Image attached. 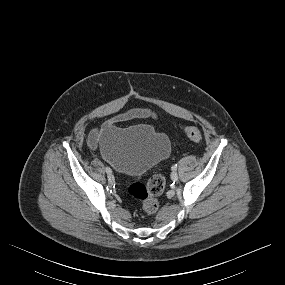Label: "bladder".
I'll return each mask as SVG.
<instances>
[{"label": "bladder", "mask_w": 285, "mask_h": 285, "mask_svg": "<svg viewBox=\"0 0 285 285\" xmlns=\"http://www.w3.org/2000/svg\"><path fill=\"white\" fill-rule=\"evenodd\" d=\"M100 150L103 158L116 169L138 175L165 159L171 142L147 124L126 128L105 124L100 128Z\"/></svg>", "instance_id": "bladder-1"}]
</instances>
